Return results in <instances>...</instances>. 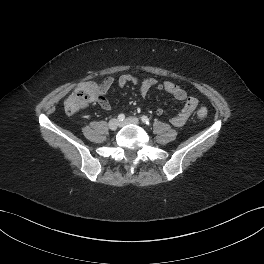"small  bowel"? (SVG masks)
<instances>
[{
    "mask_svg": "<svg viewBox=\"0 0 264 264\" xmlns=\"http://www.w3.org/2000/svg\"><path fill=\"white\" fill-rule=\"evenodd\" d=\"M114 83L119 87L134 85L143 96L147 95L152 89L166 91L171 94L176 100L183 103L180 112L170 119L172 125L176 127L183 126L198 106V100L196 98L189 96L184 89L172 81L161 82L155 78H141L130 74H124L119 76L116 80L114 78H106L99 86L96 102L103 110L108 111L111 108L105 94ZM163 113L164 111L162 108L156 110L157 115H162Z\"/></svg>",
    "mask_w": 264,
    "mask_h": 264,
    "instance_id": "c3829d8e",
    "label": "small bowel"
}]
</instances>
